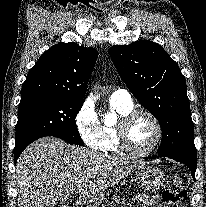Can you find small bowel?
I'll use <instances>...</instances> for the list:
<instances>
[{"instance_id": "c3829d8e", "label": "small bowel", "mask_w": 206, "mask_h": 207, "mask_svg": "<svg viewBox=\"0 0 206 207\" xmlns=\"http://www.w3.org/2000/svg\"><path fill=\"white\" fill-rule=\"evenodd\" d=\"M140 204L138 207H168L165 203L160 202L155 197L143 196L139 199Z\"/></svg>"}]
</instances>
